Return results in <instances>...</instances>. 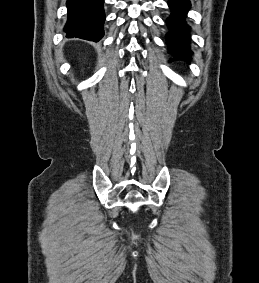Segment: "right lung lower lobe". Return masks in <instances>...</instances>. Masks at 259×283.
Listing matches in <instances>:
<instances>
[{"instance_id":"1","label":"right lung lower lobe","mask_w":259,"mask_h":283,"mask_svg":"<svg viewBox=\"0 0 259 283\" xmlns=\"http://www.w3.org/2000/svg\"><path fill=\"white\" fill-rule=\"evenodd\" d=\"M103 3L104 0H67L66 36L98 42L104 35Z\"/></svg>"}]
</instances>
